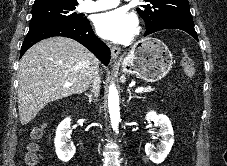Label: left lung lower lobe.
Returning a JSON list of instances; mask_svg holds the SVG:
<instances>
[{
    "mask_svg": "<svg viewBox=\"0 0 227 166\" xmlns=\"http://www.w3.org/2000/svg\"><path fill=\"white\" fill-rule=\"evenodd\" d=\"M164 29H179L182 31L187 32L188 34H190L193 38H195L196 40H198L197 37V33L194 29V23H193V19L192 18H182V19H178L172 23H168L154 31L151 32H145V36L149 35L151 33L160 31V30H164Z\"/></svg>",
    "mask_w": 227,
    "mask_h": 166,
    "instance_id": "left-lung-lower-lobe-1",
    "label": "left lung lower lobe"
}]
</instances>
